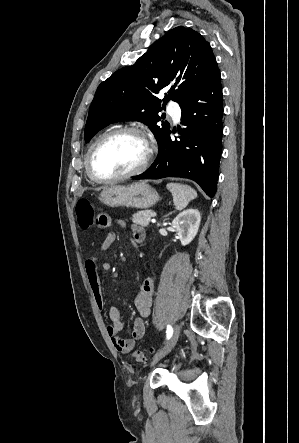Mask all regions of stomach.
I'll list each match as a JSON object with an SVG mask.
<instances>
[{"label": "stomach", "mask_w": 299, "mask_h": 443, "mask_svg": "<svg viewBox=\"0 0 299 443\" xmlns=\"http://www.w3.org/2000/svg\"><path fill=\"white\" fill-rule=\"evenodd\" d=\"M99 200L109 207H134L146 209L158 200L157 191L144 181L128 186L111 185L103 189Z\"/></svg>", "instance_id": "obj_1"}]
</instances>
